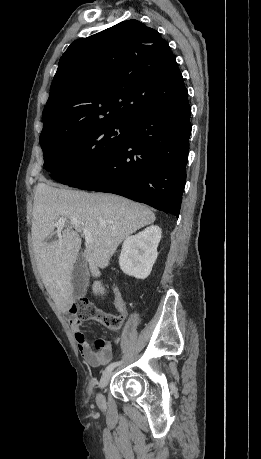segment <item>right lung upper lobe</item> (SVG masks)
Returning <instances> with one entry per match:
<instances>
[{
	"label": "right lung upper lobe",
	"instance_id": "1",
	"mask_svg": "<svg viewBox=\"0 0 261 459\" xmlns=\"http://www.w3.org/2000/svg\"><path fill=\"white\" fill-rule=\"evenodd\" d=\"M168 43L137 20L74 41L61 57L43 110L42 133L134 122L185 90ZM41 133V134H42Z\"/></svg>",
	"mask_w": 261,
	"mask_h": 459
}]
</instances>
